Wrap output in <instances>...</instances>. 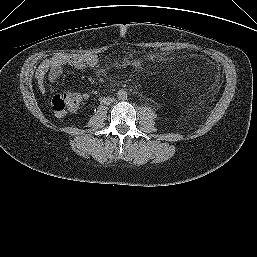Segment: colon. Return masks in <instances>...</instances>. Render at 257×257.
I'll return each instance as SVG.
<instances>
[{"label": "colon", "mask_w": 257, "mask_h": 257, "mask_svg": "<svg viewBox=\"0 0 257 257\" xmlns=\"http://www.w3.org/2000/svg\"><path fill=\"white\" fill-rule=\"evenodd\" d=\"M160 51L164 55H170L173 53V48L170 46H164ZM80 101V96L75 93H57L51 97V106L57 115H63L75 112L80 105Z\"/></svg>", "instance_id": "5ec220e1"}]
</instances>
